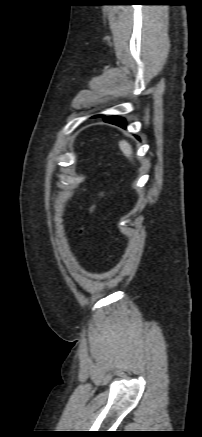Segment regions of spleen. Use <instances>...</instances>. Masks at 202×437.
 <instances>
[{"label": "spleen", "instance_id": "1", "mask_svg": "<svg viewBox=\"0 0 202 437\" xmlns=\"http://www.w3.org/2000/svg\"><path fill=\"white\" fill-rule=\"evenodd\" d=\"M119 148L127 158L130 159L132 157L133 154L132 147L127 141L125 140L120 141Z\"/></svg>", "mask_w": 202, "mask_h": 437}]
</instances>
